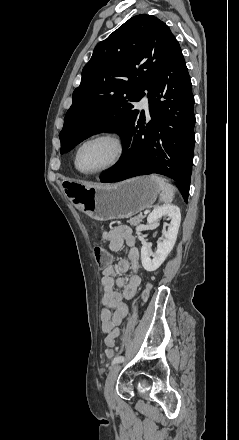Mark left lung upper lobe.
<instances>
[{"instance_id": "left-lung-upper-lobe-1", "label": "left lung upper lobe", "mask_w": 239, "mask_h": 440, "mask_svg": "<svg viewBox=\"0 0 239 440\" xmlns=\"http://www.w3.org/2000/svg\"><path fill=\"white\" fill-rule=\"evenodd\" d=\"M177 43L164 22L147 14L130 18L98 43L73 92L59 134L61 153L96 133L122 136L139 114L131 102L145 95Z\"/></svg>"}]
</instances>
